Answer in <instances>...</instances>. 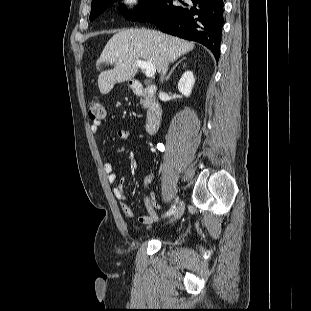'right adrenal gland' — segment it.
I'll return each mask as SVG.
<instances>
[{"label": "right adrenal gland", "mask_w": 311, "mask_h": 311, "mask_svg": "<svg viewBox=\"0 0 311 311\" xmlns=\"http://www.w3.org/2000/svg\"><path fill=\"white\" fill-rule=\"evenodd\" d=\"M186 58H182L180 61H178L175 66L171 69V71L169 72L168 76L166 77V81H168L170 79V76L172 75L173 71L176 69V67Z\"/></svg>", "instance_id": "right-adrenal-gland-1"}]
</instances>
